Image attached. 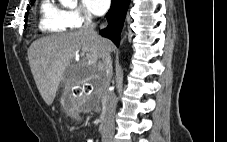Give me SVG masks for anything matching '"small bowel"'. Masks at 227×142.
Here are the masks:
<instances>
[{"mask_svg":"<svg viewBox=\"0 0 227 142\" xmlns=\"http://www.w3.org/2000/svg\"><path fill=\"white\" fill-rule=\"evenodd\" d=\"M86 142H93V140H91V139H87V140H86Z\"/></svg>","mask_w":227,"mask_h":142,"instance_id":"obj_1","label":"small bowel"}]
</instances>
